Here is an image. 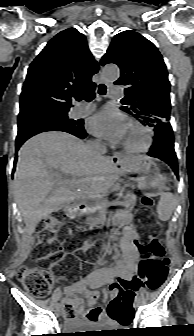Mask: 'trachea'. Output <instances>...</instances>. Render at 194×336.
<instances>
[{"instance_id":"trachea-1","label":"trachea","mask_w":194,"mask_h":336,"mask_svg":"<svg viewBox=\"0 0 194 336\" xmlns=\"http://www.w3.org/2000/svg\"><path fill=\"white\" fill-rule=\"evenodd\" d=\"M98 92L101 95H105L106 94V86L104 84H100ZM94 97H95V93L92 90H89V91L80 93L78 95H75V99L77 101L85 100V101L90 102V101H92L94 99Z\"/></svg>"}]
</instances>
